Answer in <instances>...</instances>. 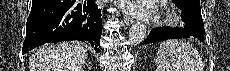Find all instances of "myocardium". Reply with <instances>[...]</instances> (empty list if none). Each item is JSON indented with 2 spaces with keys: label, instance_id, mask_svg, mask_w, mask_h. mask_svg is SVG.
I'll return each mask as SVG.
<instances>
[{
  "label": "myocardium",
  "instance_id": "myocardium-1",
  "mask_svg": "<svg viewBox=\"0 0 230 71\" xmlns=\"http://www.w3.org/2000/svg\"><path fill=\"white\" fill-rule=\"evenodd\" d=\"M177 22V16L173 12H166L165 16L161 19V23L173 25Z\"/></svg>",
  "mask_w": 230,
  "mask_h": 71
}]
</instances>
